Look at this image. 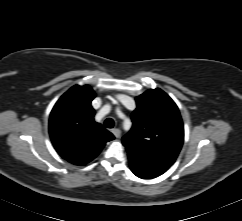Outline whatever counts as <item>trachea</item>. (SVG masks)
Wrapping results in <instances>:
<instances>
[{
  "label": "trachea",
  "mask_w": 242,
  "mask_h": 221,
  "mask_svg": "<svg viewBox=\"0 0 242 221\" xmlns=\"http://www.w3.org/2000/svg\"><path fill=\"white\" fill-rule=\"evenodd\" d=\"M105 127L113 128L114 127V120L112 118H107L104 122Z\"/></svg>",
  "instance_id": "3493384b"
}]
</instances>
